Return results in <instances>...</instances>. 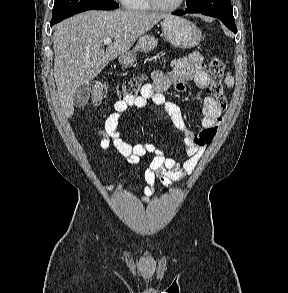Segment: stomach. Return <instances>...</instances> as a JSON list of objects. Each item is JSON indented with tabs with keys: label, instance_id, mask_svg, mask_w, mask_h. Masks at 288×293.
Masks as SVG:
<instances>
[{
	"label": "stomach",
	"instance_id": "stomach-1",
	"mask_svg": "<svg viewBox=\"0 0 288 293\" xmlns=\"http://www.w3.org/2000/svg\"><path fill=\"white\" fill-rule=\"evenodd\" d=\"M162 31L168 42L178 48H192L202 40L201 30L191 21L181 17L167 16L163 19ZM157 45V40L152 35H143L139 38L136 47L121 55L118 59L122 68H128L136 60V52H149Z\"/></svg>",
	"mask_w": 288,
	"mask_h": 293
}]
</instances>
